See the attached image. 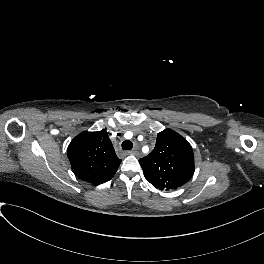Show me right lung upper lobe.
<instances>
[{"label": "right lung upper lobe", "mask_w": 264, "mask_h": 264, "mask_svg": "<svg viewBox=\"0 0 264 264\" xmlns=\"http://www.w3.org/2000/svg\"><path fill=\"white\" fill-rule=\"evenodd\" d=\"M67 155L74 174L94 185L109 181L121 163L106 130L80 133L69 144Z\"/></svg>", "instance_id": "right-lung-upper-lobe-1"}]
</instances>
